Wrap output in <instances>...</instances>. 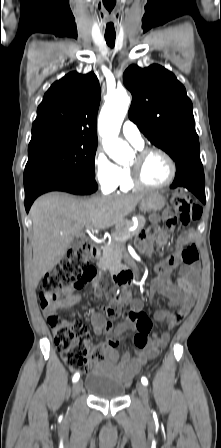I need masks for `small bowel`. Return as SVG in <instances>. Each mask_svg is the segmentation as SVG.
<instances>
[{
	"instance_id": "c3829d8e",
	"label": "small bowel",
	"mask_w": 221,
	"mask_h": 448,
	"mask_svg": "<svg viewBox=\"0 0 221 448\" xmlns=\"http://www.w3.org/2000/svg\"><path fill=\"white\" fill-rule=\"evenodd\" d=\"M167 223L173 217L166 214ZM190 241L189 235H183L178 240V250L167 259L155 266L157 277L152 281L150 293H159L168 298L169 307L159 308L154 313V318L159 323H166L160 335L153 334L150 342L142 349H138L135 355H131L126 351L122 357H119L118 345L121 339H125L126 331L137 330L136 323L129 319L128 313L124 315V319L116 326L114 334L107 323V317L115 318L120 314L121 305H130L131 310L139 312L142 310V302L139 299H132L130 292L122 295L120 302H114L111 305L95 310L91 313V325L94 332L98 335L106 337V341L102 343L98 350L91 353L92 365L95 370H105L114 374L115 378L125 381L134 376L140 367L148 360L157 356L159 350L163 349L169 339L170 331L175 326V315L170 308H177L181 317L185 316L192 308L197 288L199 284V269L196 264H184L180 258L179 249ZM168 242V228L159 224L157 217L152 218V225L148 229L147 234L137 239V246L140 250L145 251L148 246L155 244L163 247ZM182 263V264H181ZM179 264H181L180 275L172 281L169 278L170 272ZM95 295L99 296L100 283L98 280L92 283ZM84 299L81 294L69 295L66 299L55 305L52 310L66 309L80 303ZM117 304V306L115 305ZM47 313V312H46Z\"/></svg>"
}]
</instances>
